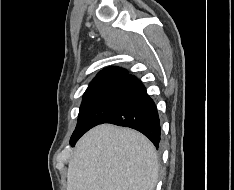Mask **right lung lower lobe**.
<instances>
[{
  "mask_svg": "<svg viewBox=\"0 0 234 190\" xmlns=\"http://www.w3.org/2000/svg\"><path fill=\"white\" fill-rule=\"evenodd\" d=\"M126 81L117 101L100 124L133 128L143 133L158 149L161 128L156 105L136 77L130 75ZM79 138L70 140V144L74 145Z\"/></svg>",
  "mask_w": 234,
  "mask_h": 190,
  "instance_id": "obj_1",
  "label": "right lung lower lobe"
}]
</instances>
